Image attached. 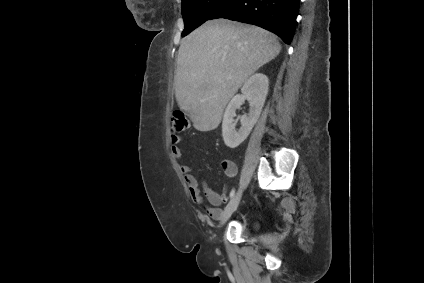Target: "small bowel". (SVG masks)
I'll return each instance as SVG.
<instances>
[{"label": "small bowel", "instance_id": "c3829d8e", "mask_svg": "<svg viewBox=\"0 0 424 283\" xmlns=\"http://www.w3.org/2000/svg\"><path fill=\"white\" fill-rule=\"evenodd\" d=\"M182 142V137L179 135H173L171 137V150L176 158H181L182 152L179 144ZM222 169L228 178H234L237 175L236 164L228 159H224L221 162ZM181 172L184 175V179L189 189V193L193 201L198 205L204 204V198L212 205V207H206V213L214 220H219L222 217L223 210L220 208L221 204L227 200V191L225 188L222 194H219L216 190L208 185L205 180H199L192 171V168L188 165H180Z\"/></svg>", "mask_w": 424, "mask_h": 283}]
</instances>
